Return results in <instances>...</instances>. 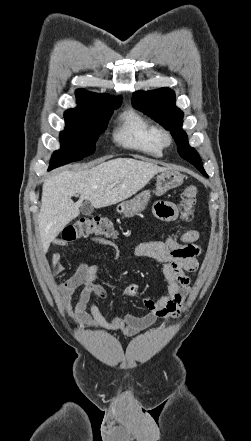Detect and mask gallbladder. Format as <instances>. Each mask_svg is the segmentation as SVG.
Here are the masks:
<instances>
[{
	"mask_svg": "<svg viewBox=\"0 0 251 441\" xmlns=\"http://www.w3.org/2000/svg\"><path fill=\"white\" fill-rule=\"evenodd\" d=\"M93 210H94L93 205L89 201H85L80 206L81 213L86 216L90 215L93 212Z\"/></svg>",
	"mask_w": 251,
	"mask_h": 441,
	"instance_id": "obj_1",
	"label": "gallbladder"
}]
</instances>
